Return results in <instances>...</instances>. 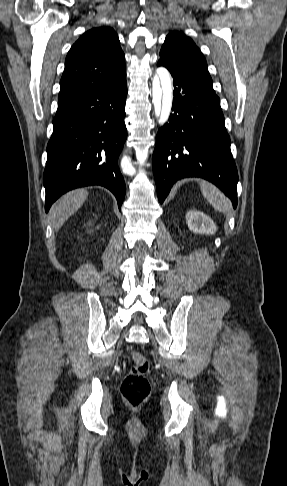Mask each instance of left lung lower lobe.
<instances>
[{"label":"left lung lower lobe","instance_id":"0a47b994","mask_svg":"<svg viewBox=\"0 0 287 486\" xmlns=\"http://www.w3.org/2000/svg\"><path fill=\"white\" fill-rule=\"evenodd\" d=\"M158 66L173 77L169 122L160 128L153 153V173L161 203L184 177H202L218 186L237 206L238 173L230 137L214 90L163 60Z\"/></svg>","mask_w":287,"mask_h":486}]
</instances>
